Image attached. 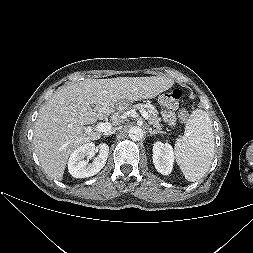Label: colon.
Masks as SVG:
<instances>
[{"mask_svg": "<svg viewBox=\"0 0 253 253\" xmlns=\"http://www.w3.org/2000/svg\"><path fill=\"white\" fill-rule=\"evenodd\" d=\"M181 97H182V91L174 90L173 92L166 94L163 99L166 103L171 104V103L179 101ZM179 119L182 122H185L188 119V112L186 109H181L179 111Z\"/></svg>", "mask_w": 253, "mask_h": 253, "instance_id": "5ec220e1", "label": "colon"}]
</instances>
